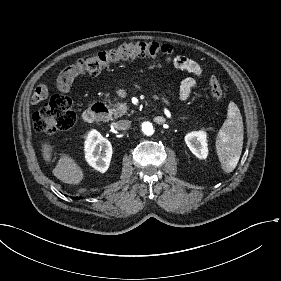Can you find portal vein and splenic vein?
<instances>
[{"label": "portal vein and splenic vein", "instance_id": "obj_1", "mask_svg": "<svg viewBox=\"0 0 281 281\" xmlns=\"http://www.w3.org/2000/svg\"><path fill=\"white\" fill-rule=\"evenodd\" d=\"M160 99H161V101H163L164 104H167V105L171 104V101L167 100V99H164V97H161Z\"/></svg>", "mask_w": 281, "mask_h": 281}]
</instances>
